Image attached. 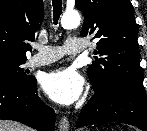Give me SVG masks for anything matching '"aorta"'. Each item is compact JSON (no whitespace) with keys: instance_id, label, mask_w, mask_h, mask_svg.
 I'll return each instance as SVG.
<instances>
[{"instance_id":"1","label":"aorta","mask_w":147,"mask_h":131,"mask_svg":"<svg viewBox=\"0 0 147 131\" xmlns=\"http://www.w3.org/2000/svg\"><path fill=\"white\" fill-rule=\"evenodd\" d=\"M80 23V15L76 11L65 12L61 19V25L64 29H73Z\"/></svg>"}]
</instances>
